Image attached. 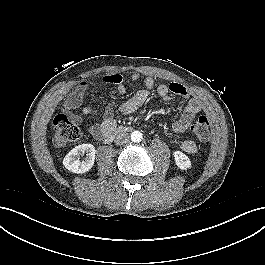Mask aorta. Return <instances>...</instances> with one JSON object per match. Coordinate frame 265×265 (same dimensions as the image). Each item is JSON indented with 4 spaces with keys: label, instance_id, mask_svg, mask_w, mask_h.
Returning <instances> with one entry per match:
<instances>
[{
    "label": "aorta",
    "instance_id": "762f6f07",
    "mask_svg": "<svg viewBox=\"0 0 265 265\" xmlns=\"http://www.w3.org/2000/svg\"><path fill=\"white\" fill-rule=\"evenodd\" d=\"M131 140L135 143H138L142 140V133L140 131H133L131 133Z\"/></svg>",
    "mask_w": 265,
    "mask_h": 265
}]
</instances>
